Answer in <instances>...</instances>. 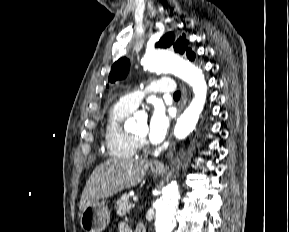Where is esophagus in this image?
I'll use <instances>...</instances> for the list:
<instances>
[{
    "label": "esophagus",
    "mask_w": 289,
    "mask_h": 232,
    "mask_svg": "<svg viewBox=\"0 0 289 232\" xmlns=\"http://www.w3.org/2000/svg\"><path fill=\"white\" fill-rule=\"evenodd\" d=\"M186 102H187V91H186V88L184 86H182V98H181V103L179 105V109H178V115L181 114V112L183 111L185 105H186ZM174 150H175V142L172 141L171 144H170V148H169V151L166 155L167 158H170L173 153H174ZM154 168L155 169H163L164 168V164L163 162H158L154 165Z\"/></svg>",
    "instance_id": "obj_1"
}]
</instances>
